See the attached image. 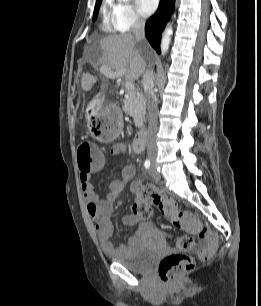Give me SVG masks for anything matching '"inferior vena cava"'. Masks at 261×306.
Masks as SVG:
<instances>
[{
	"instance_id": "inferior-vena-cava-1",
	"label": "inferior vena cava",
	"mask_w": 261,
	"mask_h": 306,
	"mask_svg": "<svg viewBox=\"0 0 261 306\" xmlns=\"http://www.w3.org/2000/svg\"><path fill=\"white\" fill-rule=\"evenodd\" d=\"M145 21L137 17L132 25V32L138 41L145 38L144 34ZM154 75L151 69H148L143 74L142 83L145 90V98L148 110V137H147V153L148 155H156V147L153 141V136L157 130L158 125V101L154 92Z\"/></svg>"
}]
</instances>
